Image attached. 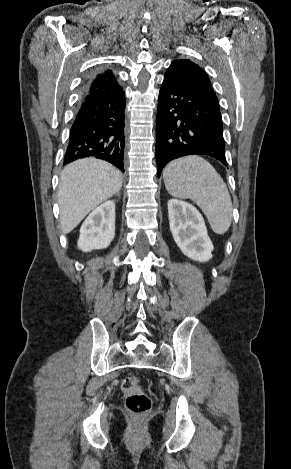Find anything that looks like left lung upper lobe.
<instances>
[{
    "label": "left lung upper lobe",
    "mask_w": 291,
    "mask_h": 469,
    "mask_svg": "<svg viewBox=\"0 0 291 469\" xmlns=\"http://www.w3.org/2000/svg\"><path fill=\"white\" fill-rule=\"evenodd\" d=\"M166 73L177 74L185 82L217 98L210 86V80L207 74L190 60L179 59L172 61Z\"/></svg>",
    "instance_id": "obj_1"
}]
</instances>
